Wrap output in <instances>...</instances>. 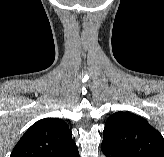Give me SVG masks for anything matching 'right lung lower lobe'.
<instances>
[{
	"label": "right lung lower lobe",
	"mask_w": 164,
	"mask_h": 157,
	"mask_svg": "<svg viewBox=\"0 0 164 157\" xmlns=\"http://www.w3.org/2000/svg\"><path fill=\"white\" fill-rule=\"evenodd\" d=\"M59 157H80L77 146L70 148Z\"/></svg>",
	"instance_id": "obj_1"
}]
</instances>
